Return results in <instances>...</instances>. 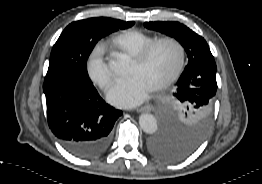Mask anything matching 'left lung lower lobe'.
Returning a JSON list of instances; mask_svg holds the SVG:
<instances>
[{"mask_svg":"<svg viewBox=\"0 0 262 184\" xmlns=\"http://www.w3.org/2000/svg\"><path fill=\"white\" fill-rule=\"evenodd\" d=\"M206 63L215 64L214 58L206 60ZM198 145L186 141L178 140L164 130L148 143L150 153L159 160L166 162H177L189 157Z\"/></svg>","mask_w":262,"mask_h":184,"instance_id":"left-lung-lower-lobe-1","label":"left lung lower lobe"}]
</instances>
